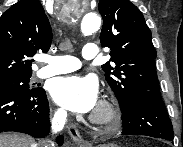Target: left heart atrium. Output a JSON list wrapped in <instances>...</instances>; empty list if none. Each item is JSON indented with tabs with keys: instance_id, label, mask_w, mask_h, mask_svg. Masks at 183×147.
I'll list each match as a JSON object with an SVG mask.
<instances>
[{
	"instance_id": "1",
	"label": "left heart atrium",
	"mask_w": 183,
	"mask_h": 147,
	"mask_svg": "<svg viewBox=\"0 0 183 147\" xmlns=\"http://www.w3.org/2000/svg\"><path fill=\"white\" fill-rule=\"evenodd\" d=\"M50 93L57 104L74 112H89L98 101V85L91 77L72 75L57 78Z\"/></svg>"
}]
</instances>
